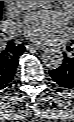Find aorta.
Instances as JSON below:
<instances>
[{
  "label": "aorta",
  "instance_id": "762f6f07",
  "mask_svg": "<svg viewBox=\"0 0 74 122\" xmlns=\"http://www.w3.org/2000/svg\"><path fill=\"white\" fill-rule=\"evenodd\" d=\"M50 1H20L22 8L26 10H36L46 7ZM43 64L50 68H59L63 63V54L57 48H47L41 55Z\"/></svg>",
  "mask_w": 74,
  "mask_h": 122
}]
</instances>
